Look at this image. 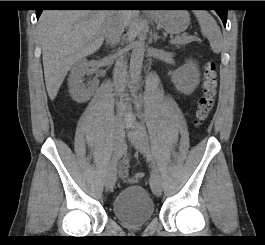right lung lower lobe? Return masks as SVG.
Segmentation results:
<instances>
[{"label":"right lung lower lobe","instance_id":"right-lung-lower-lobe-1","mask_svg":"<svg viewBox=\"0 0 265 245\" xmlns=\"http://www.w3.org/2000/svg\"><path fill=\"white\" fill-rule=\"evenodd\" d=\"M127 3L125 1H81L78 4H71V3H52L50 6H61V7H72V6H79V7H122L126 6ZM43 9L36 10V17L37 19L40 17Z\"/></svg>","mask_w":265,"mask_h":245}]
</instances>
